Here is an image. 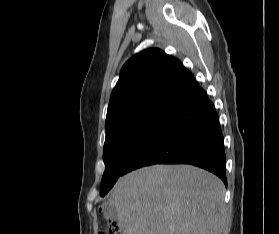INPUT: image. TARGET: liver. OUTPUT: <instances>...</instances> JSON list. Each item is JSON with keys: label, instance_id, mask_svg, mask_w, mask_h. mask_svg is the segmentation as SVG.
I'll use <instances>...</instances> for the list:
<instances>
[{"label": "liver", "instance_id": "1", "mask_svg": "<svg viewBox=\"0 0 279 234\" xmlns=\"http://www.w3.org/2000/svg\"><path fill=\"white\" fill-rule=\"evenodd\" d=\"M222 181L191 165H154L121 177L105 205L124 234H221L226 227Z\"/></svg>", "mask_w": 279, "mask_h": 234}]
</instances>
